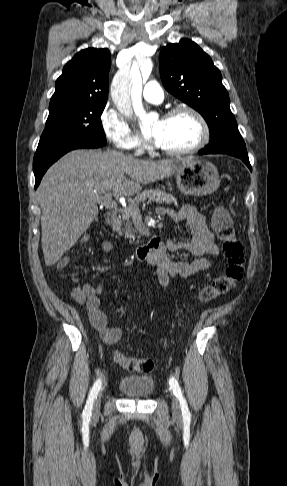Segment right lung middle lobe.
<instances>
[{
  "instance_id": "1",
  "label": "right lung middle lobe",
  "mask_w": 287,
  "mask_h": 486,
  "mask_svg": "<svg viewBox=\"0 0 287 486\" xmlns=\"http://www.w3.org/2000/svg\"><path fill=\"white\" fill-rule=\"evenodd\" d=\"M107 100H84L49 107L37 151L70 144H106L101 114Z\"/></svg>"
}]
</instances>
